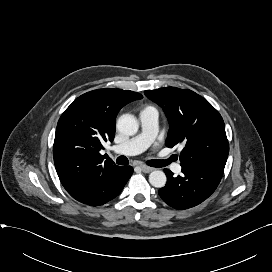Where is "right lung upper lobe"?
Listing matches in <instances>:
<instances>
[{"instance_id": "cb5924a9", "label": "right lung upper lobe", "mask_w": 272, "mask_h": 272, "mask_svg": "<svg viewBox=\"0 0 272 272\" xmlns=\"http://www.w3.org/2000/svg\"><path fill=\"white\" fill-rule=\"evenodd\" d=\"M143 96L122 89H97L75 99L61 115L53 157L59 179L68 193L81 189L102 172L116 166L100 154L113 141L115 119L126 104Z\"/></svg>"}]
</instances>
